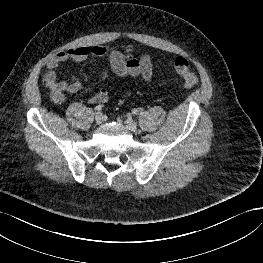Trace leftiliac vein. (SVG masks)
<instances>
[{"label": "left iliac vein", "instance_id": "left-iliac-vein-1", "mask_svg": "<svg viewBox=\"0 0 263 263\" xmlns=\"http://www.w3.org/2000/svg\"><path fill=\"white\" fill-rule=\"evenodd\" d=\"M125 124L129 130L131 131L137 130V123L132 118H127Z\"/></svg>", "mask_w": 263, "mask_h": 263}]
</instances>
